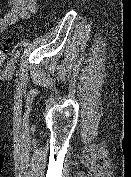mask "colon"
I'll return each instance as SVG.
<instances>
[{"mask_svg":"<svg viewBox=\"0 0 131 177\" xmlns=\"http://www.w3.org/2000/svg\"><path fill=\"white\" fill-rule=\"evenodd\" d=\"M7 42H10V38L7 39ZM6 54H7V47L0 48V66L5 61Z\"/></svg>","mask_w":131,"mask_h":177,"instance_id":"1","label":"colon"}]
</instances>
